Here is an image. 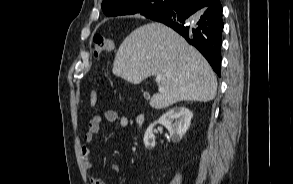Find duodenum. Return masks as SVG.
I'll list each match as a JSON object with an SVG mask.
<instances>
[{"label": "duodenum", "instance_id": "obj_1", "mask_svg": "<svg viewBox=\"0 0 293 184\" xmlns=\"http://www.w3.org/2000/svg\"><path fill=\"white\" fill-rule=\"evenodd\" d=\"M144 121H145V117H144L143 115H139V116L137 117L136 122H137V124H138L139 126H141V125L144 123Z\"/></svg>", "mask_w": 293, "mask_h": 184}]
</instances>
